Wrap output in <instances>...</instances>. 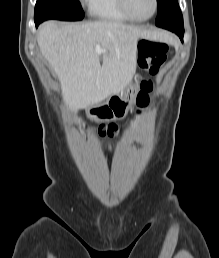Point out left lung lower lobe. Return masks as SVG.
<instances>
[{
  "label": "left lung lower lobe",
  "mask_w": 219,
  "mask_h": 258,
  "mask_svg": "<svg viewBox=\"0 0 219 258\" xmlns=\"http://www.w3.org/2000/svg\"><path fill=\"white\" fill-rule=\"evenodd\" d=\"M158 27H161L176 33L180 37L181 41L183 42V36H184L183 23H164L159 25Z\"/></svg>",
  "instance_id": "left-lung-lower-lobe-1"
}]
</instances>
